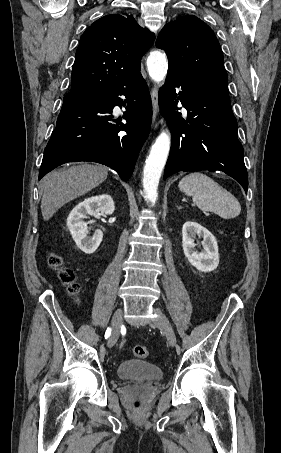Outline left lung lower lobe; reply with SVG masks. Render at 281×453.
I'll return each instance as SVG.
<instances>
[{"label": "left lung lower lobe", "instance_id": "1", "mask_svg": "<svg viewBox=\"0 0 281 453\" xmlns=\"http://www.w3.org/2000/svg\"><path fill=\"white\" fill-rule=\"evenodd\" d=\"M179 101L188 112L189 124L175 111ZM160 102L172 134L164 179L179 171L220 170L237 180L247 193L244 150L237 138L228 86L189 82L168 71Z\"/></svg>", "mask_w": 281, "mask_h": 453}]
</instances>
